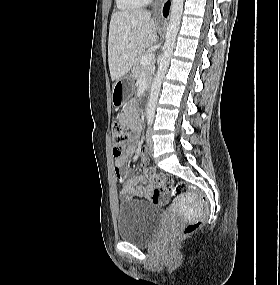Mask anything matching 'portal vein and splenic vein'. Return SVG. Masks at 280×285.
Returning a JSON list of instances; mask_svg holds the SVG:
<instances>
[{
	"label": "portal vein and splenic vein",
	"instance_id": "18ae733b",
	"mask_svg": "<svg viewBox=\"0 0 280 285\" xmlns=\"http://www.w3.org/2000/svg\"><path fill=\"white\" fill-rule=\"evenodd\" d=\"M152 59H153V54L149 53V54L143 56L140 61H141L142 65L146 66L152 62Z\"/></svg>",
	"mask_w": 280,
	"mask_h": 285
}]
</instances>
